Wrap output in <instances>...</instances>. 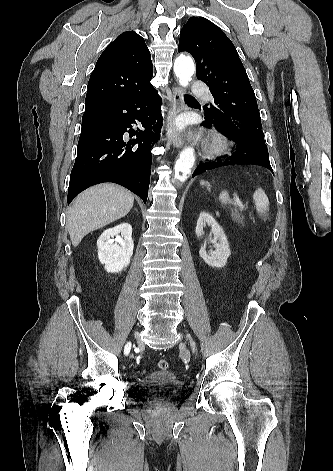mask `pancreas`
Masks as SVG:
<instances>
[{
    "instance_id": "pancreas-1",
    "label": "pancreas",
    "mask_w": 333,
    "mask_h": 471,
    "mask_svg": "<svg viewBox=\"0 0 333 471\" xmlns=\"http://www.w3.org/2000/svg\"><path fill=\"white\" fill-rule=\"evenodd\" d=\"M231 218L238 224H244L245 222V217L240 213V210H237L236 208L231 209Z\"/></svg>"
}]
</instances>
